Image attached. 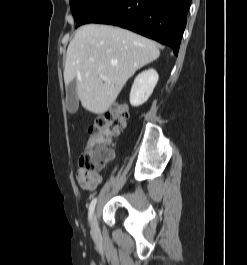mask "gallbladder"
Wrapping results in <instances>:
<instances>
[{"mask_svg": "<svg viewBox=\"0 0 247 265\" xmlns=\"http://www.w3.org/2000/svg\"><path fill=\"white\" fill-rule=\"evenodd\" d=\"M66 103L68 111L70 113H74L77 109V93L75 80L71 81L66 87Z\"/></svg>", "mask_w": 247, "mask_h": 265, "instance_id": "gallbladder-1", "label": "gallbladder"}]
</instances>
